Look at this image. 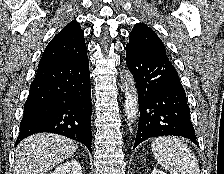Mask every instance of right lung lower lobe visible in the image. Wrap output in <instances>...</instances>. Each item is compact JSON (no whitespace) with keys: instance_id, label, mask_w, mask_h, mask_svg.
<instances>
[{"instance_id":"1","label":"right lung lower lobe","mask_w":224,"mask_h":174,"mask_svg":"<svg viewBox=\"0 0 224 174\" xmlns=\"http://www.w3.org/2000/svg\"><path fill=\"white\" fill-rule=\"evenodd\" d=\"M91 109L87 55L38 67L15 145L29 135L49 132L81 142L92 152Z\"/></svg>"}]
</instances>
